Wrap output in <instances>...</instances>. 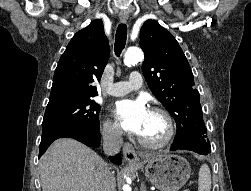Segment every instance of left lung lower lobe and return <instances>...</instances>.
<instances>
[{
  "label": "left lung lower lobe",
  "instance_id": "0a47b994",
  "mask_svg": "<svg viewBox=\"0 0 251 191\" xmlns=\"http://www.w3.org/2000/svg\"><path fill=\"white\" fill-rule=\"evenodd\" d=\"M170 150H190L202 155H207L211 152V146L209 140L203 136H189L174 141Z\"/></svg>",
  "mask_w": 251,
  "mask_h": 191
}]
</instances>
